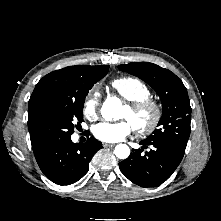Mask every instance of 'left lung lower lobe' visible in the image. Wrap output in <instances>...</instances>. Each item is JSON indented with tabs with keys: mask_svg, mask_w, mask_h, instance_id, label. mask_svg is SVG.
Here are the masks:
<instances>
[{
	"mask_svg": "<svg viewBox=\"0 0 221 221\" xmlns=\"http://www.w3.org/2000/svg\"><path fill=\"white\" fill-rule=\"evenodd\" d=\"M141 149H133L130 156L119 163L121 172L141 187H154L165 182L180 164L185 150L174 145L143 140ZM152 146L148 152L143 148Z\"/></svg>",
	"mask_w": 221,
	"mask_h": 221,
	"instance_id": "obj_1",
	"label": "left lung lower lobe"
}]
</instances>
